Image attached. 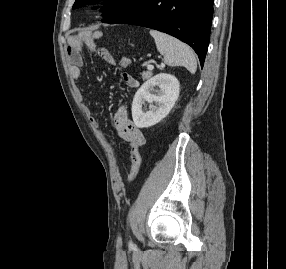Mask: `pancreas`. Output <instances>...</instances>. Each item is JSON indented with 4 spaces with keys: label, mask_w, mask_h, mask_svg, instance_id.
<instances>
[{
    "label": "pancreas",
    "mask_w": 286,
    "mask_h": 269,
    "mask_svg": "<svg viewBox=\"0 0 286 269\" xmlns=\"http://www.w3.org/2000/svg\"><path fill=\"white\" fill-rule=\"evenodd\" d=\"M141 75H142V79L145 80V79H148L152 76V72L151 71H143L141 73Z\"/></svg>",
    "instance_id": "obj_1"
}]
</instances>
